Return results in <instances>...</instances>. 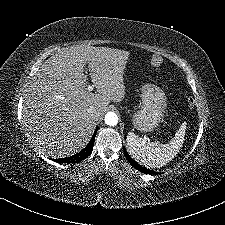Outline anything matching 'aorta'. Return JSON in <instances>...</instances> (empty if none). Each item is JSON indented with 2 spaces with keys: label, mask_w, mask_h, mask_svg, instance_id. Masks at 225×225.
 <instances>
[{
  "label": "aorta",
  "mask_w": 225,
  "mask_h": 225,
  "mask_svg": "<svg viewBox=\"0 0 225 225\" xmlns=\"http://www.w3.org/2000/svg\"><path fill=\"white\" fill-rule=\"evenodd\" d=\"M105 123L108 126H116L118 123V117L114 113H108L105 116Z\"/></svg>",
  "instance_id": "obj_1"
}]
</instances>
